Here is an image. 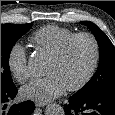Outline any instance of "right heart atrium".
<instances>
[{"label": "right heart atrium", "instance_id": "1", "mask_svg": "<svg viewBox=\"0 0 115 115\" xmlns=\"http://www.w3.org/2000/svg\"><path fill=\"white\" fill-rule=\"evenodd\" d=\"M7 65L12 76L20 83L30 78L27 53L23 45L15 43L9 50Z\"/></svg>", "mask_w": 115, "mask_h": 115}]
</instances>
